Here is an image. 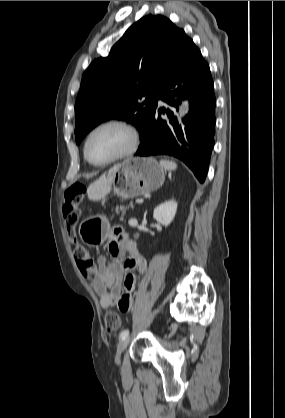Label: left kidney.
<instances>
[{
	"instance_id": "obj_1",
	"label": "left kidney",
	"mask_w": 285,
	"mask_h": 418,
	"mask_svg": "<svg viewBox=\"0 0 285 418\" xmlns=\"http://www.w3.org/2000/svg\"><path fill=\"white\" fill-rule=\"evenodd\" d=\"M177 206V202L174 200H169L161 203L154 209V219L167 227L175 217Z\"/></svg>"
}]
</instances>
